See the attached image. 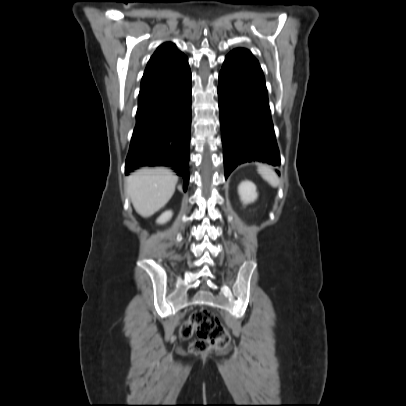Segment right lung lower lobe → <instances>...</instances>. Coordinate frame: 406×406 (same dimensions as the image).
Instances as JSON below:
<instances>
[{"label": "right lung lower lobe", "instance_id": "right-lung-lower-lobe-1", "mask_svg": "<svg viewBox=\"0 0 406 406\" xmlns=\"http://www.w3.org/2000/svg\"><path fill=\"white\" fill-rule=\"evenodd\" d=\"M191 91L188 65L170 80L139 93L126 174L146 165L170 166L183 177L186 191L189 183Z\"/></svg>", "mask_w": 406, "mask_h": 406}]
</instances>
